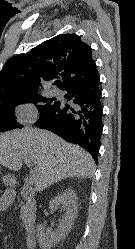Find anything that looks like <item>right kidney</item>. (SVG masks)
Listing matches in <instances>:
<instances>
[{"instance_id": "obj_1", "label": "right kidney", "mask_w": 135, "mask_h": 249, "mask_svg": "<svg viewBox=\"0 0 135 249\" xmlns=\"http://www.w3.org/2000/svg\"><path fill=\"white\" fill-rule=\"evenodd\" d=\"M59 205L65 210L59 220L58 230L51 232L43 224L37 226V237L41 249H51L63 237L69 234L77 217V196L72 189L64 190L49 202V209L55 211Z\"/></svg>"}]
</instances>
